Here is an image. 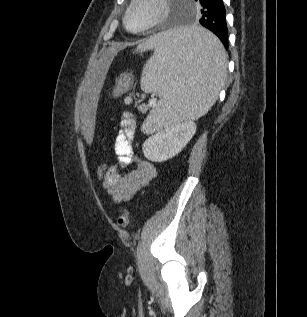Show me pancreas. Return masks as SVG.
Here are the masks:
<instances>
[{"instance_id":"pancreas-1","label":"pancreas","mask_w":307,"mask_h":317,"mask_svg":"<svg viewBox=\"0 0 307 317\" xmlns=\"http://www.w3.org/2000/svg\"><path fill=\"white\" fill-rule=\"evenodd\" d=\"M141 110H147V107L142 106V107H141Z\"/></svg>"}]
</instances>
